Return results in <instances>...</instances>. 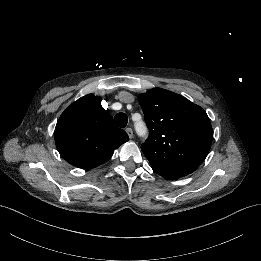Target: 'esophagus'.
I'll return each instance as SVG.
<instances>
[{"label": "esophagus", "instance_id": "34e87169", "mask_svg": "<svg viewBox=\"0 0 261 261\" xmlns=\"http://www.w3.org/2000/svg\"><path fill=\"white\" fill-rule=\"evenodd\" d=\"M125 131L128 134L129 138L132 139L133 138V130L131 128H126Z\"/></svg>", "mask_w": 261, "mask_h": 261}]
</instances>
